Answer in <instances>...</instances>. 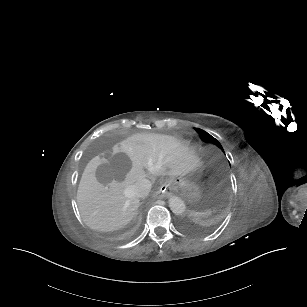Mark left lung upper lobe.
<instances>
[{"label": "left lung upper lobe", "mask_w": 307, "mask_h": 307, "mask_svg": "<svg viewBox=\"0 0 307 307\" xmlns=\"http://www.w3.org/2000/svg\"><path fill=\"white\" fill-rule=\"evenodd\" d=\"M196 130H197V132L199 133L201 139H202L204 142L213 143V144H215L216 146H218V147L224 152V150H223L221 144H220L214 137H212L210 134H208L207 132H205V131L202 130V129L197 128Z\"/></svg>", "instance_id": "left-lung-upper-lobe-1"}]
</instances>
